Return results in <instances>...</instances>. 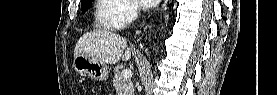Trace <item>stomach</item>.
<instances>
[{
    "mask_svg": "<svg viewBox=\"0 0 277 95\" xmlns=\"http://www.w3.org/2000/svg\"><path fill=\"white\" fill-rule=\"evenodd\" d=\"M74 71L82 76L105 81L108 78V67L105 63L88 54H80L74 57Z\"/></svg>",
    "mask_w": 277,
    "mask_h": 95,
    "instance_id": "1",
    "label": "stomach"
}]
</instances>
